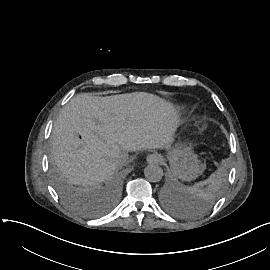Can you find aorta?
Segmentation results:
<instances>
[{"label":"aorta","instance_id":"aorta-1","mask_svg":"<svg viewBox=\"0 0 270 270\" xmlns=\"http://www.w3.org/2000/svg\"><path fill=\"white\" fill-rule=\"evenodd\" d=\"M144 174L146 179L151 182H159L163 178V169L158 164H149L145 170Z\"/></svg>","mask_w":270,"mask_h":270}]
</instances>
